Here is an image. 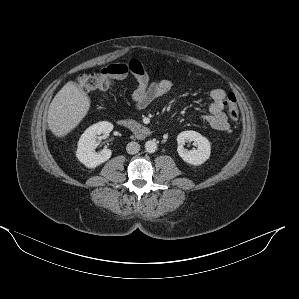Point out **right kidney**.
I'll list each match as a JSON object with an SVG mask.
<instances>
[{
    "mask_svg": "<svg viewBox=\"0 0 299 299\" xmlns=\"http://www.w3.org/2000/svg\"><path fill=\"white\" fill-rule=\"evenodd\" d=\"M113 125L109 122H99L90 126L80 137L76 156L87 168H96L106 162L112 155L110 149L95 152V137L102 133H110Z\"/></svg>",
    "mask_w": 299,
    "mask_h": 299,
    "instance_id": "obj_1",
    "label": "right kidney"
}]
</instances>
